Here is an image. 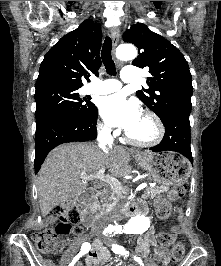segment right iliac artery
Returning <instances> with one entry per match:
<instances>
[{"instance_id": "obj_1", "label": "right iliac artery", "mask_w": 221, "mask_h": 266, "mask_svg": "<svg viewBox=\"0 0 221 266\" xmlns=\"http://www.w3.org/2000/svg\"><path fill=\"white\" fill-rule=\"evenodd\" d=\"M90 249H91V245H90V243H88V242L83 243V245H82V247H81V251H80V253H79L77 256H75V257L73 258V260H72V262L69 264V266H74V264L76 263V261L79 260V258H80L82 255L88 253Z\"/></svg>"}]
</instances>
